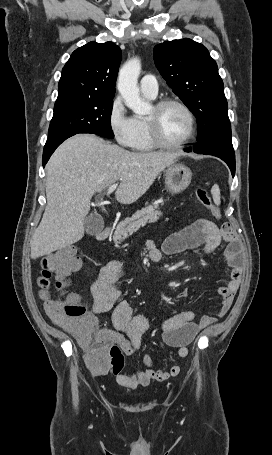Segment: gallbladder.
I'll return each mask as SVG.
<instances>
[{
  "instance_id": "obj_1",
  "label": "gallbladder",
  "mask_w": 272,
  "mask_h": 455,
  "mask_svg": "<svg viewBox=\"0 0 272 455\" xmlns=\"http://www.w3.org/2000/svg\"><path fill=\"white\" fill-rule=\"evenodd\" d=\"M86 232L90 235L100 233L104 228V221L98 214H90L84 221Z\"/></svg>"
}]
</instances>
